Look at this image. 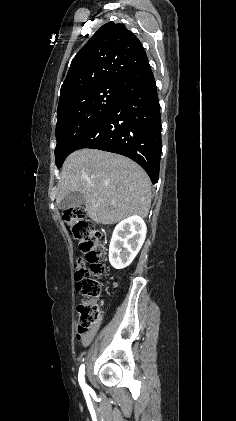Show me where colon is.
Returning a JSON list of instances; mask_svg holds the SVG:
<instances>
[{
    "instance_id": "5ec220e1",
    "label": "colon",
    "mask_w": 236,
    "mask_h": 421,
    "mask_svg": "<svg viewBox=\"0 0 236 421\" xmlns=\"http://www.w3.org/2000/svg\"><path fill=\"white\" fill-rule=\"evenodd\" d=\"M64 221L70 229L72 237L78 242L80 251L90 263L85 266L82 258L75 264V280L77 291L86 297L77 307L78 332L77 339L91 332L102 319V311L95 301L102 293L99 277L104 273L106 245L102 234L94 224L86 219V212L81 207L69 208L64 211Z\"/></svg>"
}]
</instances>
